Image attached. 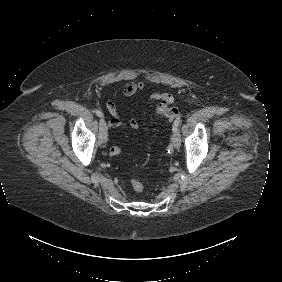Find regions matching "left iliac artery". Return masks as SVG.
Listing matches in <instances>:
<instances>
[{
	"label": "left iliac artery",
	"mask_w": 282,
	"mask_h": 282,
	"mask_svg": "<svg viewBox=\"0 0 282 282\" xmlns=\"http://www.w3.org/2000/svg\"><path fill=\"white\" fill-rule=\"evenodd\" d=\"M180 122H181V117H178V118L175 120L174 124H173V128H172L173 131L178 130V127H179V125H180Z\"/></svg>",
	"instance_id": "1"
}]
</instances>
